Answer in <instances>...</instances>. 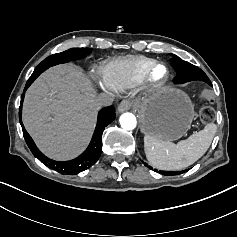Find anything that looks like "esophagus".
I'll return each instance as SVG.
<instances>
[{"label":"esophagus","instance_id":"obj_1","mask_svg":"<svg viewBox=\"0 0 237 237\" xmlns=\"http://www.w3.org/2000/svg\"><path fill=\"white\" fill-rule=\"evenodd\" d=\"M132 105L133 104L131 101L128 100L122 101L118 106L117 112L122 113L124 111H127L132 108Z\"/></svg>","mask_w":237,"mask_h":237}]
</instances>
